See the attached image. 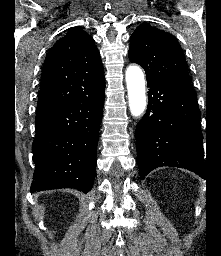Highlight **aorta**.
<instances>
[{"mask_svg":"<svg viewBox=\"0 0 221 256\" xmlns=\"http://www.w3.org/2000/svg\"><path fill=\"white\" fill-rule=\"evenodd\" d=\"M126 84L130 112L141 116L146 108L145 77L140 67L131 65L126 70Z\"/></svg>","mask_w":221,"mask_h":256,"instance_id":"1","label":"aorta"}]
</instances>
